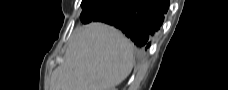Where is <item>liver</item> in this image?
<instances>
[{"label": "liver", "mask_w": 228, "mask_h": 90, "mask_svg": "<svg viewBox=\"0 0 228 90\" xmlns=\"http://www.w3.org/2000/svg\"><path fill=\"white\" fill-rule=\"evenodd\" d=\"M133 68V47L118 30L91 23L74 31L50 90H112Z\"/></svg>", "instance_id": "6515ba94"}]
</instances>
